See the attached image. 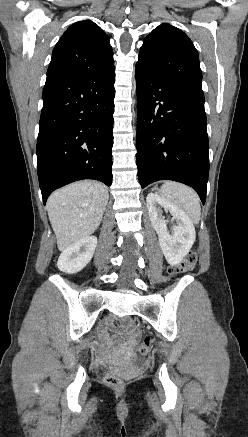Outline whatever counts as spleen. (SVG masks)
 Masks as SVG:
<instances>
[{"label": "spleen", "instance_id": "spleen-1", "mask_svg": "<svg viewBox=\"0 0 248 437\" xmlns=\"http://www.w3.org/2000/svg\"><path fill=\"white\" fill-rule=\"evenodd\" d=\"M161 195L184 211L193 223H199L201 215L200 199L192 188L177 182L167 181L161 187Z\"/></svg>", "mask_w": 248, "mask_h": 437}]
</instances>
